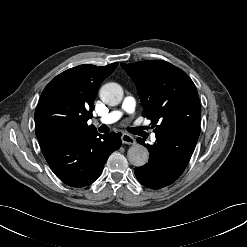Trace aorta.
<instances>
[{"label":"aorta","mask_w":247,"mask_h":247,"mask_svg":"<svg viewBox=\"0 0 247 247\" xmlns=\"http://www.w3.org/2000/svg\"><path fill=\"white\" fill-rule=\"evenodd\" d=\"M99 96L104 103L115 106L123 99V89L117 83H106L101 87ZM127 157L132 165L140 167L148 162L149 152L143 145L134 144L128 149Z\"/></svg>","instance_id":"762f6f07"}]
</instances>
